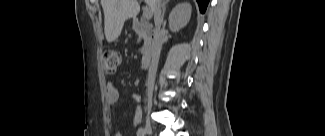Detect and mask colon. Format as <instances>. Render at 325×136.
<instances>
[{"label":"colon","instance_id":"obj_1","mask_svg":"<svg viewBox=\"0 0 325 136\" xmlns=\"http://www.w3.org/2000/svg\"><path fill=\"white\" fill-rule=\"evenodd\" d=\"M121 61V56L119 52L114 49L107 48L103 52V65L104 70L108 74H113L116 72Z\"/></svg>","mask_w":325,"mask_h":136}]
</instances>
